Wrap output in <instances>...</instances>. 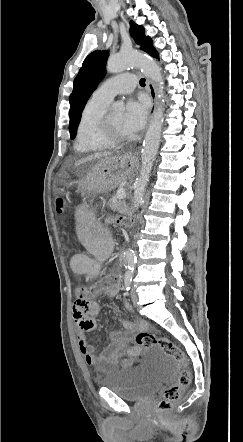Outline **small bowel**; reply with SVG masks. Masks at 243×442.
Instances as JSON below:
<instances>
[{
    "instance_id": "c3829d8e",
    "label": "small bowel",
    "mask_w": 243,
    "mask_h": 442,
    "mask_svg": "<svg viewBox=\"0 0 243 442\" xmlns=\"http://www.w3.org/2000/svg\"><path fill=\"white\" fill-rule=\"evenodd\" d=\"M120 286V276L111 273L102 280L95 281L90 287L93 290L91 296H82L81 289L77 290V300L73 306V318L77 327V344L79 352L89 366L99 370L110 372L119 365L128 366L127 361H122L123 355H127L132 359L140 354L141 348L133 345L134 333L146 328V324L140 318L132 317L128 320L120 321L124 332L110 331V345L102 351H98L88 343L87 333L96 328L94 317L101 312V305L92 300L95 294L106 292L110 296H114ZM82 306L84 311L82 310ZM124 307L127 311H131V305L125 303Z\"/></svg>"
}]
</instances>
